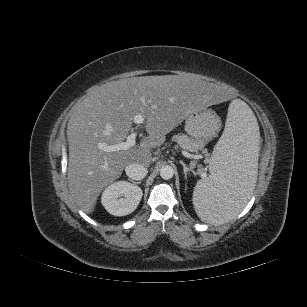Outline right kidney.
<instances>
[{"label": "right kidney", "mask_w": 307, "mask_h": 307, "mask_svg": "<svg viewBox=\"0 0 307 307\" xmlns=\"http://www.w3.org/2000/svg\"><path fill=\"white\" fill-rule=\"evenodd\" d=\"M143 192L137 185L118 181L109 185L101 197L102 205L112 215L125 216L139 205Z\"/></svg>", "instance_id": "1"}]
</instances>
